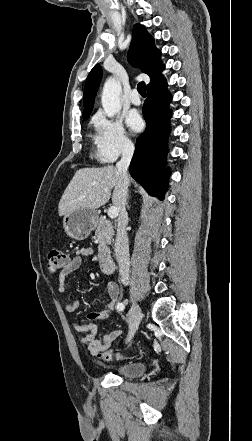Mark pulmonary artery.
<instances>
[{"instance_id": "obj_1", "label": "pulmonary artery", "mask_w": 252, "mask_h": 441, "mask_svg": "<svg viewBox=\"0 0 252 441\" xmlns=\"http://www.w3.org/2000/svg\"><path fill=\"white\" fill-rule=\"evenodd\" d=\"M129 100L133 105H140L141 103V99L136 90L132 91V93L129 96Z\"/></svg>"}]
</instances>
